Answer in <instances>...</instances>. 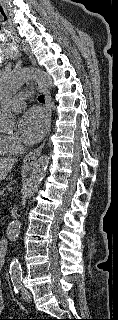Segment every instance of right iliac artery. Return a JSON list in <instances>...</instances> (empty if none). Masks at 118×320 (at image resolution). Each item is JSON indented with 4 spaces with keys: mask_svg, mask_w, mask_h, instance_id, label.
Segmentation results:
<instances>
[{
    "mask_svg": "<svg viewBox=\"0 0 118 320\" xmlns=\"http://www.w3.org/2000/svg\"><path fill=\"white\" fill-rule=\"evenodd\" d=\"M12 283H13L14 292L18 293L19 290L21 289V286H22L21 281L20 280H14V281H12Z\"/></svg>",
    "mask_w": 118,
    "mask_h": 320,
    "instance_id": "right-iliac-artery-1",
    "label": "right iliac artery"
}]
</instances>
